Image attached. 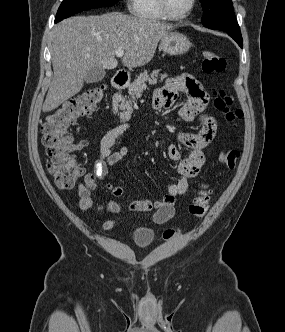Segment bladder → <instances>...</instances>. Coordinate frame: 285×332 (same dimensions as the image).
Returning <instances> with one entry per match:
<instances>
[{
    "label": "bladder",
    "mask_w": 285,
    "mask_h": 332,
    "mask_svg": "<svg viewBox=\"0 0 285 332\" xmlns=\"http://www.w3.org/2000/svg\"><path fill=\"white\" fill-rule=\"evenodd\" d=\"M134 242L141 248L148 247L155 239L153 230L145 227L138 228L133 234Z\"/></svg>",
    "instance_id": "bladder-1"
}]
</instances>
